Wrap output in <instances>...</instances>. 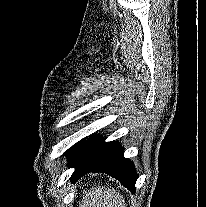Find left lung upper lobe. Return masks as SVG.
I'll return each mask as SVG.
<instances>
[{
    "instance_id": "obj_1",
    "label": "left lung upper lobe",
    "mask_w": 206,
    "mask_h": 207,
    "mask_svg": "<svg viewBox=\"0 0 206 207\" xmlns=\"http://www.w3.org/2000/svg\"><path fill=\"white\" fill-rule=\"evenodd\" d=\"M83 142L84 140H81L80 142L73 145L68 151V156L72 157L78 151V149L83 145Z\"/></svg>"
}]
</instances>
